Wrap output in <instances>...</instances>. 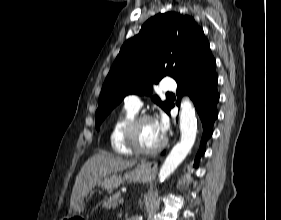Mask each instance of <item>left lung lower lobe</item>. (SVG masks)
<instances>
[{
    "instance_id": "obj_1",
    "label": "left lung lower lobe",
    "mask_w": 281,
    "mask_h": 220,
    "mask_svg": "<svg viewBox=\"0 0 281 220\" xmlns=\"http://www.w3.org/2000/svg\"><path fill=\"white\" fill-rule=\"evenodd\" d=\"M215 68L216 61L209 48L204 53L196 56L190 62L186 73L176 81L179 98L183 94L190 96L202 122L203 134L195 165H197L201 155L206 150V142L212 136L213 124L218 116L217 103L219 94ZM172 107L173 104H171L170 109Z\"/></svg>"
}]
</instances>
